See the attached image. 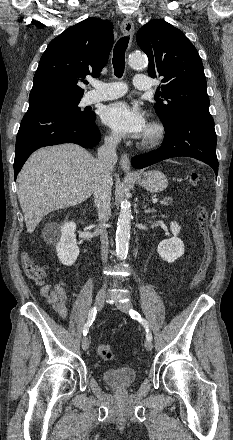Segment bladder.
I'll return each mask as SVG.
<instances>
[{"instance_id":"obj_1","label":"bladder","mask_w":233,"mask_h":440,"mask_svg":"<svg viewBox=\"0 0 233 440\" xmlns=\"http://www.w3.org/2000/svg\"><path fill=\"white\" fill-rule=\"evenodd\" d=\"M102 378L108 385L115 388L132 386L137 378L135 369L131 367H119L107 369L102 372Z\"/></svg>"}]
</instances>
